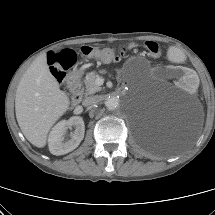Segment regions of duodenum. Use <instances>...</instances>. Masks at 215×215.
<instances>
[{"label":"duodenum","instance_id":"duodenum-1","mask_svg":"<svg viewBox=\"0 0 215 215\" xmlns=\"http://www.w3.org/2000/svg\"><path fill=\"white\" fill-rule=\"evenodd\" d=\"M68 86L72 92L71 95V106L74 107L81 101L82 92H81V75L78 72H72L68 76Z\"/></svg>","mask_w":215,"mask_h":215}]
</instances>
